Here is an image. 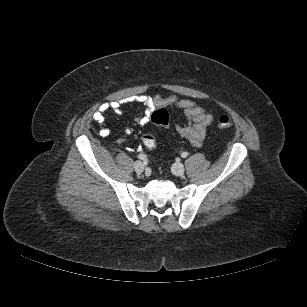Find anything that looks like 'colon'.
<instances>
[{"label":"colon","instance_id":"5ec220e1","mask_svg":"<svg viewBox=\"0 0 307 307\" xmlns=\"http://www.w3.org/2000/svg\"><path fill=\"white\" fill-rule=\"evenodd\" d=\"M151 120L161 126H167L170 121L169 113L166 109H158L154 111L151 115ZM232 125V120L229 116L222 115L218 119V127L225 129L229 128ZM142 145L149 149L152 150L156 147L157 141L155 136L152 133H145L142 138H141Z\"/></svg>","mask_w":307,"mask_h":307}]
</instances>
